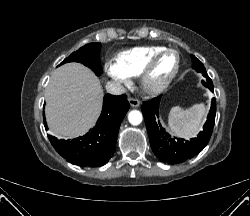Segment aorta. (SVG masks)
<instances>
[{
	"label": "aorta",
	"instance_id": "762f6f07",
	"mask_svg": "<svg viewBox=\"0 0 250 216\" xmlns=\"http://www.w3.org/2000/svg\"><path fill=\"white\" fill-rule=\"evenodd\" d=\"M142 114L138 110H132L128 115V120L132 125H139L142 122Z\"/></svg>",
	"mask_w": 250,
	"mask_h": 216
}]
</instances>
